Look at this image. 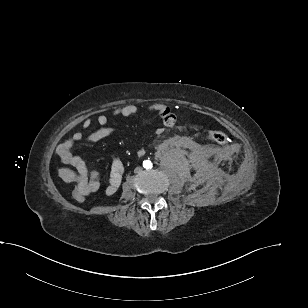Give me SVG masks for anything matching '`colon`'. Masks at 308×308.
Returning <instances> with one entry per match:
<instances>
[{"instance_id": "colon-1", "label": "colon", "mask_w": 308, "mask_h": 308, "mask_svg": "<svg viewBox=\"0 0 308 308\" xmlns=\"http://www.w3.org/2000/svg\"><path fill=\"white\" fill-rule=\"evenodd\" d=\"M163 119L172 124L175 120V117L173 114H171L170 112H165L163 114ZM209 138L218 143V144H225L227 143V136L219 131V130H210L208 133ZM88 195V193L78 187H75V189L73 190V197L75 198L76 201L78 202H84L86 199V196Z\"/></svg>"}]
</instances>
